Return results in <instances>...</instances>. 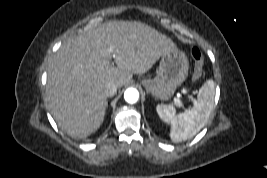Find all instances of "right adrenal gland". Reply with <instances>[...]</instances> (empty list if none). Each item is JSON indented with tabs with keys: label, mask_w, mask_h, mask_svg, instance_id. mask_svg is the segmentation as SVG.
Instances as JSON below:
<instances>
[{
	"label": "right adrenal gland",
	"mask_w": 267,
	"mask_h": 178,
	"mask_svg": "<svg viewBox=\"0 0 267 178\" xmlns=\"http://www.w3.org/2000/svg\"><path fill=\"white\" fill-rule=\"evenodd\" d=\"M108 107V102L106 101V108Z\"/></svg>",
	"instance_id": "obj_1"
}]
</instances>
